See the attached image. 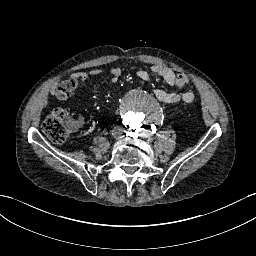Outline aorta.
<instances>
[{"label":"aorta","mask_w":256,"mask_h":256,"mask_svg":"<svg viewBox=\"0 0 256 256\" xmlns=\"http://www.w3.org/2000/svg\"><path fill=\"white\" fill-rule=\"evenodd\" d=\"M121 113L129 125L136 128H145L157 120L160 113V104L152 92L145 89H136L124 97L121 104Z\"/></svg>","instance_id":"obj_1"}]
</instances>
